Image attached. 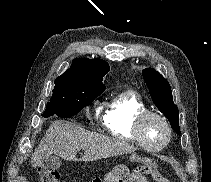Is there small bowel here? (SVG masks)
Returning a JSON list of instances; mask_svg holds the SVG:
<instances>
[{
  "instance_id": "obj_1",
  "label": "small bowel",
  "mask_w": 211,
  "mask_h": 182,
  "mask_svg": "<svg viewBox=\"0 0 211 182\" xmlns=\"http://www.w3.org/2000/svg\"><path fill=\"white\" fill-rule=\"evenodd\" d=\"M108 177V173L106 174V178ZM109 181V180H108ZM141 182H146V181H141Z\"/></svg>"
}]
</instances>
